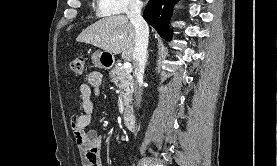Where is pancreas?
Returning <instances> with one entry per match:
<instances>
[{"label":"pancreas","mask_w":277,"mask_h":166,"mask_svg":"<svg viewBox=\"0 0 277 166\" xmlns=\"http://www.w3.org/2000/svg\"><path fill=\"white\" fill-rule=\"evenodd\" d=\"M110 79L120 90V99L122 102L121 110L126 113L131 109L132 95H133V78L131 71L126 70L123 66L116 65L110 71Z\"/></svg>","instance_id":"1"}]
</instances>
